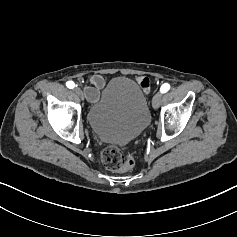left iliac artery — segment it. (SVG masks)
Here are the masks:
<instances>
[{
    "label": "left iliac artery",
    "mask_w": 237,
    "mask_h": 237,
    "mask_svg": "<svg viewBox=\"0 0 237 237\" xmlns=\"http://www.w3.org/2000/svg\"><path fill=\"white\" fill-rule=\"evenodd\" d=\"M170 89V85L168 83H165L161 86L160 91L161 93H166Z\"/></svg>",
    "instance_id": "44dca946"
}]
</instances>
